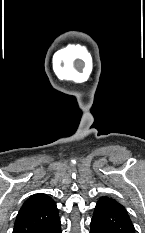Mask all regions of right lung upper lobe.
I'll return each mask as SVG.
<instances>
[{"label": "right lung upper lobe", "instance_id": "right-lung-upper-lobe-1", "mask_svg": "<svg viewBox=\"0 0 145 233\" xmlns=\"http://www.w3.org/2000/svg\"><path fill=\"white\" fill-rule=\"evenodd\" d=\"M59 219L54 200L42 193L29 197L22 205L13 233H42Z\"/></svg>", "mask_w": 145, "mask_h": 233}]
</instances>
